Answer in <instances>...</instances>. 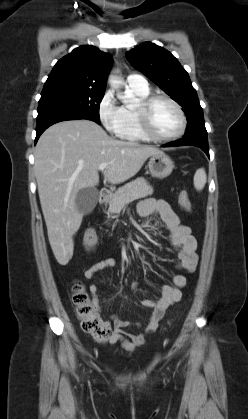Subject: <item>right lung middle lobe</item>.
Returning <instances> with one entry per match:
<instances>
[{"label":"right lung middle lobe","instance_id":"obj_1","mask_svg":"<svg viewBox=\"0 0 248 419\" xmlns=\"http://www.w3.org/2000/svg\"><path fill=\"white\" fill-rule=\"evenodd\" d=\"M104 91L78 87L43 88L38 115L61 111L81 112L100 124L99 107Z\"/></svg>","mask_w":248,"mask_h":419}]
</instances>
